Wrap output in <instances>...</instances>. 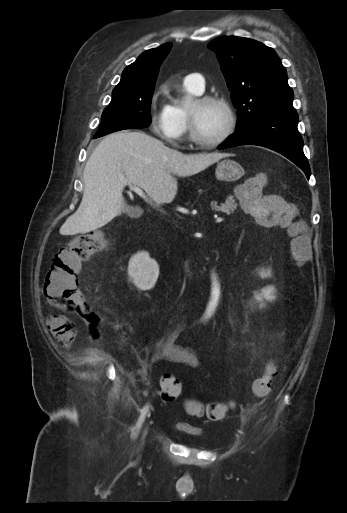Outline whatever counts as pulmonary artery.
I'll list each match as a JSON object with an SVG mask.
<instances>
[{
    "mask_svg": "<svg viewBox=\"0 0 347 513\" xmlns=\"http://www.w3.org/2000/svg\"><path fill=\"white\" fill-rule=\"evenodd\" d=\"M185 82L192 86L198 93H202L205 88V78L200 73H192L185 77Z\"/></svg>",
    "mask_w": 347,
    "mask_h": 513,
    "instance_id": "pulmonary-artery-1",
    "label": "pulmonary artery"
}]
</instances>
